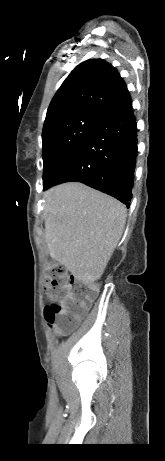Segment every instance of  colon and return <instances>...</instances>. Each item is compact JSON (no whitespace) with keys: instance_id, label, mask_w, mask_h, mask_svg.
<instances>
[{"instance_id":"1","label":"colon","mask_w":165,"mask_h":461,"mask_svg":"<svg viewBox=\"0 0 165 461\" xmlns=\"http://www.w3.org/2000/svg\"><path fill=\"white\" fill-rule=\"evenodd\" d=\"M45 289L51 297L45 308V317L59 335L69 334L79 325L97 294L95 285L79 282L58 263L47 266Z\"/></svg>"}]
</instances>
